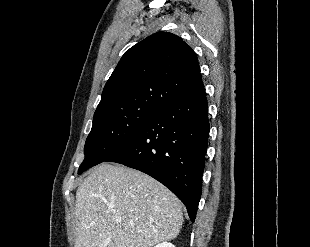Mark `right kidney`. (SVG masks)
<instances>
[{
    "label": "right kidney",
    "mask_w": 310,
    "mask_h": 247,
    "mask_svg": "<svg viewBox=\"0 0 310 247\" xmlns=\"http://www.w3.org/2000/svg\"><path fill=\"white\" fill-rule=\"evenodd\" d=\"M155 247H175V246L170 242H162L157 244Z\"/></svg>",
    "instance_id": "right-kidney-1"
}]
</instances>
